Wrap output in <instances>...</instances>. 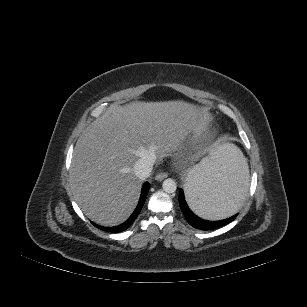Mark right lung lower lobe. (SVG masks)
Listing matches in <instances>:
<instances>
[{"label": "right lung lower lobe", "mask_w": 307, "mask_h": 307, "mask_svg": "<svg viewBox=\"0 0 307 307\" xmlns=\"http://www.w3.org/2000/svg\"><path fill=\"white\" fill-rule=\"evenodd\" d=\"M149 188H150V184L148 182L144 183V185L142 187L141 197H140L139 203H138L135 211L128 218V220H126L123 224L115 226V227H102V226H99L95 223H92V224L94 226L98 227L99 229H102V230L107 231V232H122V231L128 229L132 225V223L134 222V220L136 219L138 214L140 213V211H141V209L144 205V202L146 200V196H147V193L149 191Z\"/></svg>", "instance_id": "98d812e1"}]
</instances>
